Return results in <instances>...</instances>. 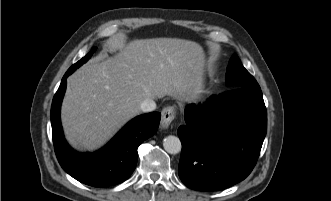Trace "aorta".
I'll return each instance as SVG.
<instances>
[{"instance_id": "1", "label": "aorta", "mask_w": 331, "mask_h": 201, "mask_svg": "<svg viewBox=\"0 0 331 201\" xmlns=\"http://www.w3.org/2000/svg\"><path fill=\"white\" fill-rule=\"evenodd\" d=\"M163 147L169 154H177L181 151L182 144L178 137L169 135L164 138Z\"/></svg>"}]
</instances>
